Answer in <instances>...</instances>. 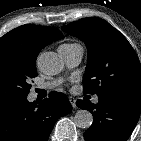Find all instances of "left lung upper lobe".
Returning a JSON list of instances; mask_svg holds the SVG:
<instances>
[{
  "mask_svg": "<svg viewBox=\"0 0 141 141\" xmlns=\"http://www.w3.org/2000/svg\"><path fill=\"white\" fill-rule=\"evenodd\" d=\"M62 30L85 42L84 93L141 97V65L127 39L108 22L85 18Z\"/></svg>",
  "mask_w": 141,
  "mask_h": 141,
  "instance_id": "obj_1",
  "label": "left lung upper lobe"
}]
</instances>
